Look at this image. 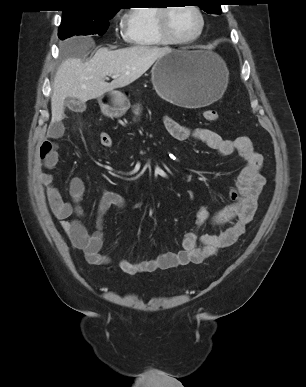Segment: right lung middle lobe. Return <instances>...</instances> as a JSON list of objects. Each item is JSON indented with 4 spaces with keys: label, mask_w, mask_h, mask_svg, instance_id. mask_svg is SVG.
Listing matches in <instances>:
<instances>
[{
    "label": "right lung middle lobe",
    "mask_w": 306,
    "mask_h": 387,
    "mask_svg": "<svg viewBox=\"0 0 306 387\" xmlns=\"http://www.w3.org/2000/svg\"><path fill=\"white\" fill-rule=\"evenodd\" d=\"M117 10L104 11L94 14H63L59 27L60 39L73 35L98 34L102 36L109 27V20L114 17Z\"/></svg>",
    "instance_id": "right-lung-middle-lobe-1"
}]
</instances>
